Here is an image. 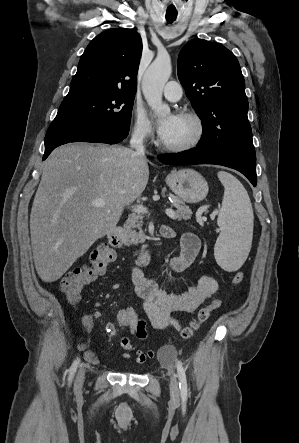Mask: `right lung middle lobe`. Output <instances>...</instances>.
I'll return each instance as SVG.
<instances>
[{"mask_svg":"<svg viewBox=\"0 0 299 443\" xmlns=\"http://www.w3.org/2000/svg\"><path fill=\"white\" fill-rule=\"evenodd\" d=\"M135 95L98 88H73L64 98L52 128H79L106 124L130 127Z\"/></svg>","mask_w":299,"mask_h":443,"instance_id":"dd1d6c3e","label":"right lung middle lobe"}]
</instances>
